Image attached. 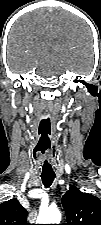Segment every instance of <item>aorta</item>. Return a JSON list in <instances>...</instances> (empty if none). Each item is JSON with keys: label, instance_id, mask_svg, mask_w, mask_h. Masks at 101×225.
Instances as JSON below:
<instances>
[{"label": "aorta", "instance_id": "1", "mask_svg": "<svg viewBox=\"0 0 101 225\" xmlns=\"http://www.w3.org/2000/svg\"><path fill=\"white\" fill-rule=\"evenodd\" d=\"M61 213L56 208H48L39 213L37 224H59Z\"/></svg>", "mask_w": 101, "mask_h": 225}]
</instances>
